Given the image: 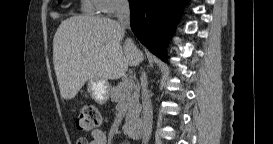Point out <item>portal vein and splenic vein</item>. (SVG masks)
<instances>
[{
	"instance_id": "18ae733b",
	"label": "portal vein and splenic vein",
	"mask_w": 273,
	"mask_h": 144,
	"mask_svg": "<svg viewBox=\"0 0 273 144\" xmlns=\"http://www.w3.org/2000/svg\"><path fill=\"white\" fill-rule=\"evenodd\" d=\"M134 86H135L134 81H132V80L126 81V87L128 89H132Z\"/></svg>"
}]
</instances>
